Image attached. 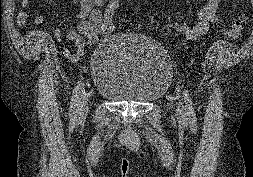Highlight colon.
<instances>
[{
	"label": "colon",
	"mask_w": 253,
	"mask_h": 177,
	"mask_svg": "<svg viewBox=\"0 0 253 177\" xmlns=\"http://www.w3.org/2000/svg\"><path fill=\"white\" fill-rule=\"evenodd\" d=\"M124 2V0H109L105 4L103 8L101 37L109 38L114 34ZM247 20V13L245 11H239L234 17L231 26L222 31V35L230 40L240 37L245 30Z\"/></svg>",
	"instance_id": "colon-1"
}]
</instances>
